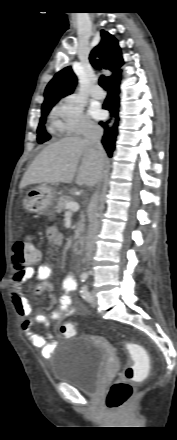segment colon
<instances>
[{
  "label": "colon",
  "instance_id": "5ec220e1",
  "mask_svg": "<svg viewBox=\"0 0 177 440\" xmlns=\"http://www.w3.org/2000/svg\"><path fill=\"white\" fill-rule=\"evenodd\" d=\"M40 258L41 252L32 245L29 237H21L14 243L12 262L16 270H25ZM60 332L70 338L75 334V326L71 322L65 323ZM125 348L132 356L133 363L124 368L121 377L108 390L106 404L112 410H120L126 405L133 394V383L143 379L150 369L149 356L143 347L128 342Z\"/></svg>",
  "mask_w": 177,
  "mask_h": 440
}]
</instances>
